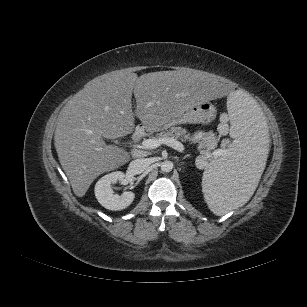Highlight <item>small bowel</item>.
I'll return each mask as SVG.
<instances>
[{
  "label": "small bowel",
  "mask_w": 307,
  "mask_h": 307,
  "mask_svg": "<svg viewBox=\"0 0 307 307\" xmlns=\"http://www.w3.org/2000/svg\"><path fill=\"white\" fill-rule=\"evenodd\" d=\"M202 136H203V133H202V132H197V133L194 135V139H195V140H199V139L202 138Z\"/></svg>",
  "instance_id": "small-bowel-1"
}]
</instances>
